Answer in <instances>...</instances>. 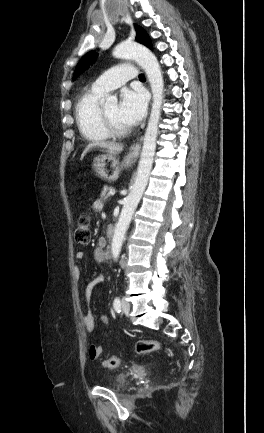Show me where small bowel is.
<instances>
[{"label":"small bowel","mask_w":264,"mask_h":433,"mask_svg":"<svg viewBox=\"0 0 264 433\" xmlns=\"http://www.w3.org/2000/svg\"><path fill=\"white\" fill-rule=\"evenodd\" d=\"M92 208H93L94 211L100 212L103 209V202L101 200L94 201L93 204H92ZM85 256H86V253L84 251H78L76 253V258L78 260L84 259ZM75 272H76L77 279H80L81 271H80L79 267L76 268ZM103 282H104L103 276H97L95 279H93L87 285V287L85 289V298H86L87 302H89L93 290L96 287L102 285ZM101 320L104 323H108L109 322V318L107 317V315H102L101 316ZM82 322H83L84 328L88 332H92L95 329V326H96L95 318H94L93 314L91 313V311L89 309H87L86 311H84V313L82 314ZM102 350L103 349H102V347L100 345H95V344L90 345L89 350H88L89 358L91 360L98 359L101 356V354H102Z\"/></svg>","instance_id":"1"}]
</instances>
